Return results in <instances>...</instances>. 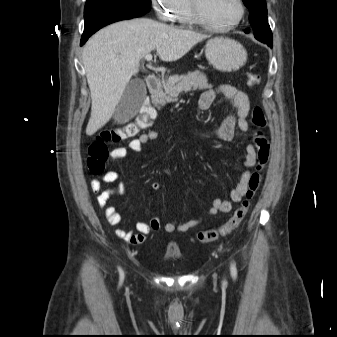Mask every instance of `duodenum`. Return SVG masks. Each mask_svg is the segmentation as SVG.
<instances>
[{
  "instance_id": "duodenum-1",
  "label": "duodenum",
  "mask_w": 337,
  "mask_h": 337,
  "mask_svg": "<svg viewBox=\"0 0 337 337\" xmlns=\"http://www.w3.org/2000/svg\"><path fill=\"white\" fill-rule=\"evenodd\" d=\"M146 83H147L148 88L150 90L154 91L159 87L160 80H159V77L156 74L150 73L146 77Z\"/></svg>"
}]
</instances>
